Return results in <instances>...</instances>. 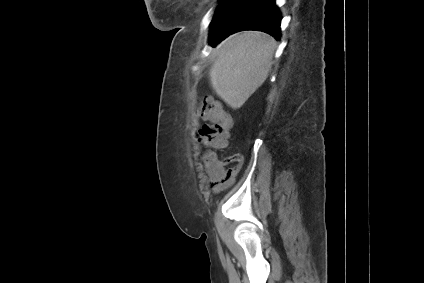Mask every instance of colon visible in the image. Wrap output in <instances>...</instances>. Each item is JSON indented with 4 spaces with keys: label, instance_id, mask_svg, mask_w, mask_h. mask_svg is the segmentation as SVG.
<instances>
[{
    "label": "colon",
    "instance_id": "5ec220e1",
    "mask_svg": "<svg viewBox=\"0 0 424 283\" xmlns=\"http://www.w3.org/2000/svg\"><path fill=\"white\" fill-rule=\"evenodd\" d=\"M197 114L210 122L199 130V140L213 149L225 148L228 144L231 119L222 105L207 98L203 99L197 109ZM204 161L206 164H213L215 154L207 152L204 155Z\"/></svg>",
    "mask_w": 424,
    "mask_h": 283
}]
</instances>
